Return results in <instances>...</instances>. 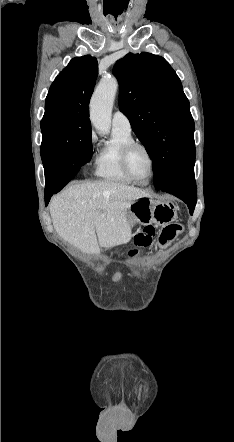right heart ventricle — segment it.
<instances>
[{
  "label": "right heart ventricle",
  "instance_id": "right-heart-ventricle-1",
  "mask_svg": "<svg viewBox=\"0 0 234 442\" xmlns=\"http://www.w3.org/2000/svg\"><path fill=\"white\" fill-rule=\"evenodd\" d=\"M133 141L131 132L113 129L112 138L105 143L95 162V175L105 181L129 184L132 181L126 176L121 166V151L125 144Z\"/></svg>",
  "mask_w": 234,
  "mask_h": 442
}]
</instances>
